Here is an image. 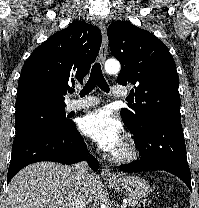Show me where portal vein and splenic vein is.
Here are the masks:
<instances>
[{"mask_svg": "<svg viewBox=\"0 0 199 208\" xmlns=\"http://www.w3.org/2000/svg\"><path fill=\"white\" fill-rule=\"evenodd\" d=\"M126 207H127V204L126 203H124V204L121 205V208H126Z\"/></svg>", "mask_w": 199, "mask_h": 208, "instance_id": "18ae733b", "label": "portal vein and splenic vein"}]
</instances>
